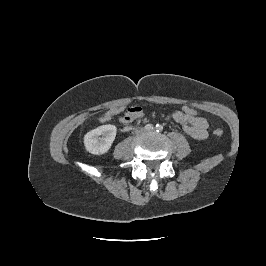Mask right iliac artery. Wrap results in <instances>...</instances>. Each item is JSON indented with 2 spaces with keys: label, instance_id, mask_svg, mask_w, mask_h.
Segmentation results:
<instances>
[{
  "label": "right iliac artery",
  "instance_id": "82829eb1",
  "mask_svg": "<svg viewBox=\"0 0 266 266\" xmlns=\"http://www.w3.org/2000/svg\"><path fill=\"white\" fill-rule=\"evenodd\" d=\"M153 129V125L152 124H147L146 126H145V130H147V131H150V130H152Z\"/></svg>",
  "mask_w": 266,
  "mask_h": 266
}]
</instances>
